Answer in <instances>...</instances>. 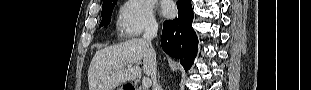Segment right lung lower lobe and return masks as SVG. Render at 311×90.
Here are the masks:
<instances>
[{
	"mask_svg": "<svg viewBox=\"0 0 311 90\" xmlns=\"http://www.w3.org/2000/svg\"><path fill=\"white\" fill-rule=\"evenodd\" d=\"M178 17L165 21L162 31L163 50L176 59L187 71L197 54L198 40L192 29L193 9L190 0H178Z\"/></svg>",
	"mask_w": 311,
	"mask_h": 90,
	"instance_id": "1",
	"label": "right lung lower lobe"
}]
</instances>
